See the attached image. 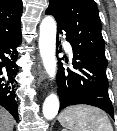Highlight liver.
Returning a JSON list of instances; mask_svg holds the SVG:
<instances>
[{"label": "liver", "instance_id": "obj_1", "mask_svg": "<svg viewBox=\"0 0 117 131\" xmlns=\"http://www.w3.org/2000/svg\"><path fill=\"white\" fill-rule=\"evenodd\" d=\"M14 120L4 108L0 107V131H13Z\"/></svg>", "mask_w": 117, "mask_h": 131}]
</instances>
